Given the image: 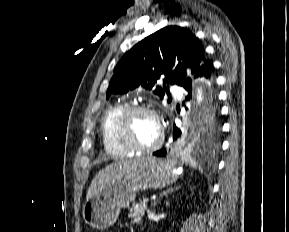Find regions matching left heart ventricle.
Here are the masks:
<instances>
[{
  "label": "left heart ventricle",
  "instance_id": "left-heart-ventricle-1",
  "mask_svg": "<svg viewBox=\"0 0 289 232\" xmlns=\"http://www.w3.org/2000/svg\"><path fill=\"white\" fill-rule=\"evenodd\" d=\"M131 138L140 146L155 144L160 136V128L152 116L144 113L134 115L129 122Z\"/></svg>",
  "mask_w": 289,
  "mask_h": 232
}]
</instances>
